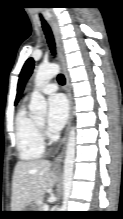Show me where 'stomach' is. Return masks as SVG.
<instances>
[{
    "mask_svg": "<svg viewBox=\"0 0 123 219\" xmlns=\"http://www.w3.org/2000/svg\"><path fill=\"white\" fill-rule=\"evenodd\" d=\"M22 211H35L34 203H30L24 210ZM24 217L30 216L31 212H24L21 214Z\"/></svg>",
    "mask_w": 123,
    "mask_h": 219,
    "instance_id": "obj_1",
    "label": "stomach"
}]
</instances>
